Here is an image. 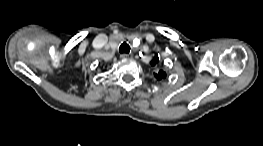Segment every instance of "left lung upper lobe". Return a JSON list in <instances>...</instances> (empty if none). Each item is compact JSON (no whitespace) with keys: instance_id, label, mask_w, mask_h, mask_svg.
<instances>
[{"instance_id":"left-lung-upper-lobe-1","label":"left lung upper lobe","mask_w":263,"mask_h":146,"mask_svg":"<svg viewBox=\"0 0 263 146\" xmlns=\"http://www.w3.org/2000/svg\"><path fill=\"white\" fill-rule=\"evenodd\" d=\"M159 61L158 57L155 56L153 58V60L150 62L151 66H155L157 64V62ZM154 76L157 80H162V79H165L167 74L165 71L163 70H160L158 73H154Z\"/></svg>"}]
</instances>
